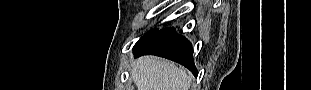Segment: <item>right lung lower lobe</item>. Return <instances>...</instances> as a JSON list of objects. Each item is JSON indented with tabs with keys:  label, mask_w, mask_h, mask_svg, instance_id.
Listing matches in <instances>:
<instances>
[{
	"label": "right lung lower lobe",
	"mask_w": 311,
	"mask_h": 90,
	"mask_svg": "<svg viewBox=\"0 0 311 90\" xmlns=\"http://www.w3.org/2000/svg\"><path fill=\"white\" fill-rule=\"evenodd\" d=\"M135 56L156 55L184 65L197 76L191 43L178 35L172 27L155 31L138 41L133 48Z\"/></svg>",
	"instance_id": "98d812e1"
}]
</instances>
